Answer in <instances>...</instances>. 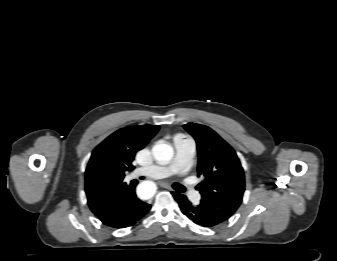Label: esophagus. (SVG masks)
Masks as SVG:
<instances>
[{
	"instance_id": "34e87169",
	"label": "esophagus",
	"mask_w": 337,
	"mask_h": 261,
	"mask_svg": "<svg viewBox=\"0 0 337 261\" xmlns=\"http://www.w3.org/2000/svg\"><path fill=\"white\" fill-rule=\"evenodd\" d=\"M161 186H162L163 188L172 190V188H171L168 184H166V183H162Z\"/></svg>"
}]
</instances>
